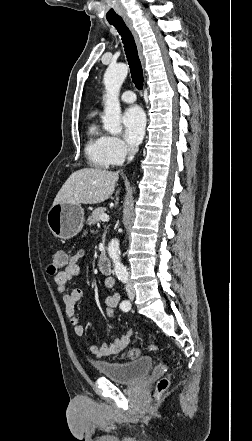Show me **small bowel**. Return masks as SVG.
<instances>
[{"label": "small bowel", "instance_id": "c3829d8e", "mask_svg": "<svg viewBox=\"0 0 252 441\" xmlns=\"http://www.w3.org/2000/svg\"><path fill=\"white\" fill-rule=\"evenodd\" d=\"M83 255V251L78 252L69 260L68 265L54 276L57 292L62 295L65 314L73 326L75 334L78 336H82L84 333L83 326L80 324L76 313V304L81 300L83 290L81 287H76L70 293H68V284L73 277L79 274L80 268L78 261L81 257H83ZM104 286L108 289H113L115 286L114 278L111 276L105 277ZM119 302L120 295L118 293L108 295L104 300L105 305H112L114 307H117ZM133 333L134 329L132 327H127L124 333L115 338L112 342L105 343L100 347L94 345L89 346L87 347V352L96 359H102L104 357L117 354L127 346Z\"/></svg>", "mask_w": 252, "mask_h": 441}]
</instances>
